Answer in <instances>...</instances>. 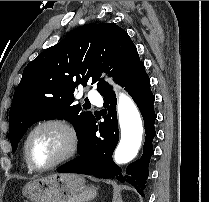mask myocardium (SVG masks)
I'll return each mask as SVG.
<instances>
[{
    "mask_svg": "<svg viewBox=\"0 0 209 202\" xmlns=\"http://www.w3.org/2000/svg\"><path fill=\"white\" fill-rule=\"evenodd\" d=\"M45 127L57 128L64 139L65 146L59 155L49 164L45 166L36 165L29 151V143L32 136L40 129ZM80 149V138L76 129L66 120L59 117H49L40 120L27 132L23 141V152L27 165L35 172H45L58 167L59 165L71 160L78 153Z\"/></svg>",
    "mask_w": 209,
    "mask_h": 202,
    "instance_id": "1",
    "label": "myocardium"
}]
</instances>
